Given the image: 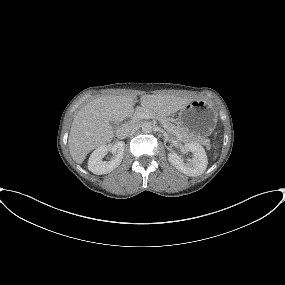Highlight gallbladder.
Instances as JSON below:
<instances>
[{"instance_id":"bac80fb5","label":"gallbladder","mask_w":285,"mask_h":285,"mask_svg":"<svg viewBox=\"0 0 285 285\" xmlns=\"http://www.w3.org/2000/svg\"><path fill=\"white\" fill-rule=\"evenodd\" d=\"M110 124H111L113 127H115V123H114V122L111 121Z\"/></svg>"}]
</instances>
